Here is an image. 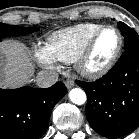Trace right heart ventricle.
I'll use <instances>...</instances> for the list:
<instances>
[{"instance_id":"1","label":"right heart ventricle","mask_w":139,"mask_h":139,"mask_svg":"<svg viewBox=\"0 0 139 139\" xmlns=\"http://www.w3.org/2000/svg\"><path fill=\"white\" fill-rule=\"evenodd\" d=\"M102 26L99 23H82L56 31L48 37L45 48L53 59L74 63L92 34Z\"/></svg>"}]
</instances>
